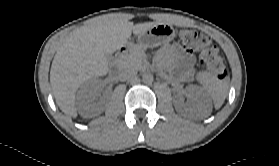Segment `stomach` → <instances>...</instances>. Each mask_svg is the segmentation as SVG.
I'll use <instances>...</instances> for the list:
<instances>
[{"mask_svg":"<svg viewBox=\"0 0 279 166\" xmlns=\"http://www.w3.org/2000/svg\"><path fill=\"white\" fill-rule=\"evenodd\" d=\"M175 30L171 25L159 23L138 35V43L143 47H156L171 42Z\"/></svg>","mask_w":279,"mask_h":166,"instance_id":"1","label":"stomach"}]
</instances>
